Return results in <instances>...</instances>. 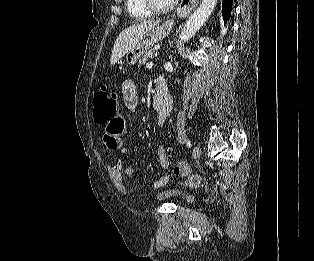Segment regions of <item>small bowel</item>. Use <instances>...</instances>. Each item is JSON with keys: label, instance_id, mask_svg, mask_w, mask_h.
<instances>
[{"label": "small bowel", "instance_id": "1", "mask_svg": "<svg viewBox=\"0 0 314 261\" xmlns=\"http://www.w3.org/2000/svg\"><path fill=\"white\" fill-rule=\"evenodd\" d=\"M124 105L128 109L135 108L137 104V88L132 79H126L121 88ZM170 112L156 117L158 126H163L166 118ZM125 123H127V116H110V120L104 121V133H101V140H104L106 151H121L126 152V144L123 142V136L125 135ZM157 157L159 165L162 169H167L168 160L166 149L163 146H159L157 149ZM108 172L114 187L123 195L131 196L132 191L130 187L125 183L123 173L126 176H133L135 174L134 167L128 166L124 168L122 161L110 165ZM169 182V176L165 175L157 179L153 186L160 188L165 186Z\"/></svg>", "mask_w": 314, "mask_h": 261}]
</instances>
